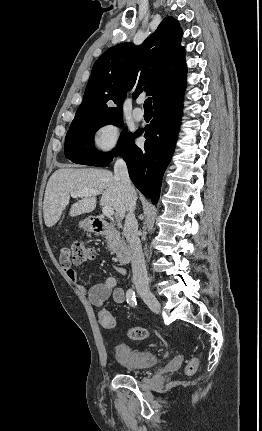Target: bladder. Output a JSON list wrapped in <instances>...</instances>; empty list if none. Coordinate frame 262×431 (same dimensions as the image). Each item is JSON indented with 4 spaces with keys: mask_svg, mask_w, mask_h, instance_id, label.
<instances>
[{
    "mask_svg": "<svg viewBox=\"0 0 262 431\" xmlns=\"http://www.w3.org/2000/svg\"><path fill=\"white\" fill-rule=\"evenodd\" d=\"M116 356L122 366L131 370L148 368L159 361L157 352L148 349H136L125 344L116 346Z\"/></svg>",
    "mask_w": 262,
    "mask_h": 431,
    "instance_id": "1",
    "label": "bladder"
}]
</instances>
